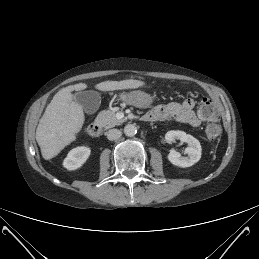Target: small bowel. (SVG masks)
Instances as JSON below:
<instances>
[{
	"instance_id": "small-bowel-1",
	"label": "small bowel",
	"mask_w": 259,
	"mask_h": 259,
	"mask_svg": "<svg viewBox=\"0 0 259 259\" xmlns=\"http://www.w3.org/2000/svg\"><path fill=\"white\" fill-rule=\"evenodd\" d=\"M146 114L152 117V121H163L168 118H174L180 123L193 127H198L203 121L209 120V117L201 111H195V102L190 98L182 102L160 104Z\"/></svg>"
}]
</instances>
